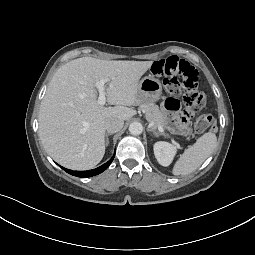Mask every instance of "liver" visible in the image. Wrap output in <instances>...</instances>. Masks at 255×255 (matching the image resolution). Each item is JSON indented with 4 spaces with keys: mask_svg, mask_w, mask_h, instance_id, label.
Segmentation results:
<instances>
[{
    "mask_svg": "<svg viewBox=\"0 0 255 255\" xmlns=\"http://www.w3.org/2000/svg\"><path fill=\"white\" fill-rule=\"evenodd\" d=\"M153 61L101 60L82 57L61 66L41 102L39 136L46 152L73 170L95 167L105 154V122L123 121L140 103L138 84ZM106 81L107 102L98 104L95 83Z\"/></svg>",
    "mask_w": 255,
    "mask_h": 255,
    "instance_id": "6515ba94",
    "label": "liver"
}]
</instances>
